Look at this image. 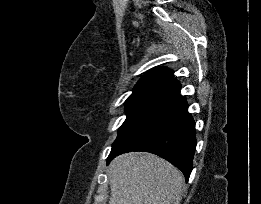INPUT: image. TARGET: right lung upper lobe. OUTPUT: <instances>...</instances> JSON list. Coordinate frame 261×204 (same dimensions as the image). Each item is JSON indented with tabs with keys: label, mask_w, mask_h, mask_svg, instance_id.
<instances>
[{
	"label": "right lung upper lobe",
	"mask_w": 261,
	"mask_h": 204,
	"mask_svg": "<svg viewBox=\"0 0 261 204\" xmlns=\"http://www.w3.org/2000/svg\"><path fill=\"white\" fill-rule=\"evenodd\" d=\"M172 70L156 67L146 73L136 84L132 94L156 93L170 95L180 89V83L173 79Z\"/></svg>",
	"instance_id": "1"
}]
</instances>
